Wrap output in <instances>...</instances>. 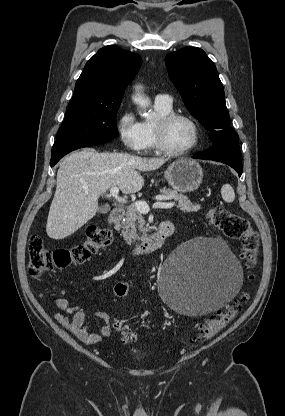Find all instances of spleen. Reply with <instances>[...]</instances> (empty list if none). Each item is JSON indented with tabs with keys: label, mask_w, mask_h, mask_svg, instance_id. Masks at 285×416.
Instances as JSON below:
<instances>
[{
	"label": "spleen",
	"mask_w": 285,
	"mask_h": 416,
	"mask_svg": "<svg viewBox=\"0 0 285 416\" xmlns=\"http://www.w3.org/2000/svg\"><path fill=\"white\" fill-rule=\"evenodd\" d=\"M221 196L224 202H234L235 194L232 186L230 184H224L221 188Z\"/></svg>",
	"instance_id": "spleen-1"
}]
</instances>
